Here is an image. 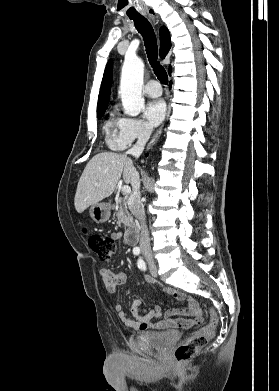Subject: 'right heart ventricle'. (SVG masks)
<instances>
[{"instance_id":"right-heart-ventricle-1","label":"right heart ventricle","mask_w":279,"mask_h":391,"mask_svg":"<svg viewBox=\"0 0 279 391\" xmlns=\"http://www.w3.org/2000/svg\"><path fill=\"white\" fill-rule=\"evenodd\" d=\"M117 123L118 120L114 119L113 116H110L104 125V132L106 135V139L111 147H115L116 135H117L115 133V128L117 127Z\"/></svg>"}]
</instances>
